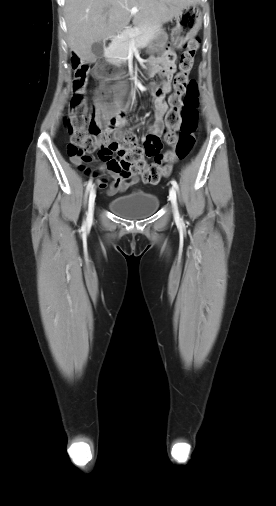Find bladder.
Masks as SVG:
<instances>
[{"label":"bladder","instance_id":"obj_1","mask_svg":"<svg viewBox=\"0 0 276 506\" xmlns=\"http://www.w3.org/2000/svg\"><path fill=\"white\" fill-rule=\"evenodd\" d=\"M159 205V198L146 191L131 192L108 201V207L114 213L129 219L147 217L155 213Z\"/></svg>","mask_w":276,"mask_h":506}]
</instances>
